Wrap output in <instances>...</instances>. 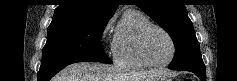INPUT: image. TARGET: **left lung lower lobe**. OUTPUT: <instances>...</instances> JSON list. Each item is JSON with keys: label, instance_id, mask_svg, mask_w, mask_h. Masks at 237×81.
I'll list each match as a JSON object with an SVG mask.
<instances>
[{"label": "left lung lower lobe", "instance_id": "obj_1", "mask_svg": "<svg viewBox=\"0 0 237 81\" xmlns=\"http://www.w3.org/2000/svg\"><path fill=\"white\" fill-rule=\"evenodd\" d=\"M193 72L194 74H196L201 81H206V73L204 72H197V71H190Z\"/></svg>", "mask_w": 237, "mask_h": 81}]
</instances>
